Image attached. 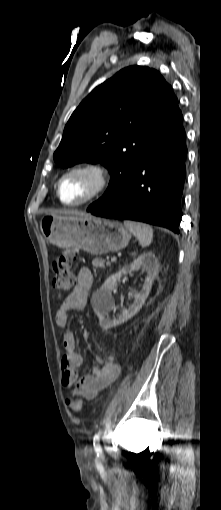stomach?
I'll list each match as a JSON object with an SVG mask.
<instances>
[{"label": "stomach", "mask_w": 221, "mask_h": 510, "mask_svg": "<svg viewBox=\"0 0 221 510\" xmlns=\"http://www.w3.org/2000/svg\"><path fill=\"white\" fill-rule=\"evenodd\" d=\"M40 230L53 245L76 247L92 255L119 251L128 245L131 238L120 222L92 215H44L40 220Z\"/></svg>", "instance_id": "1"}]
</instances>
